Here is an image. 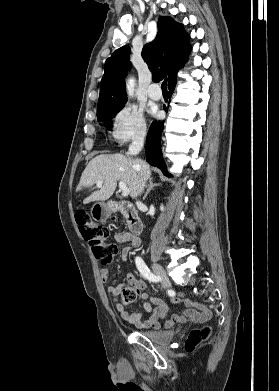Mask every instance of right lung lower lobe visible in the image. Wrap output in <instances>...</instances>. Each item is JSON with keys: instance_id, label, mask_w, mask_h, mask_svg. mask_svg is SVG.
<instances>
[{"instance_id": "1", "label": "right lung lower lobe", "mask_w": 279, "mask_h": 391, "mask_svg": "<svg viewBox=\"0 0 279 391\" xmlns=\"http://www.w3.org/2000/svg\"><path fill=\"white\" fill-rule=\"evenodd\" d=\"M176 81L171 84L169 87V94L171 95L175 89ZM163 123L154 121L150 129L148 131L147 135V141H146V160L151 165L156 166L161 169L163 174L170 176V174L167 172L166 165L164 163V160L162 158L161 153V134L163 130Z\"/></svg>"}]
</instances>
